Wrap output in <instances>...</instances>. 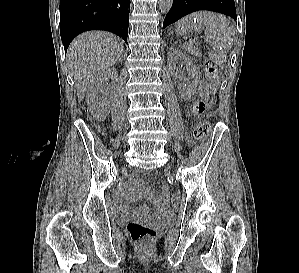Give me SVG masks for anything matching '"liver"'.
<instances>
[{
	"label": "liver",
	"mask_w": 299,
	"mask_h": 273,
	"mask_svg": "<svg viewBox=\"0 0 299 273\" xmlns=\"http://www.w3.org/2000/svg\"><path fill=\"white\" fill-rule=\"evenodd\" d=\"M123 50L119 38L103 31L86 32L74 39L67 51V65L74 77L79 100L84 98L92 76L115 64Z\"/></svg>",
	"instance_id": "6515ba94"
}]
</instances>
